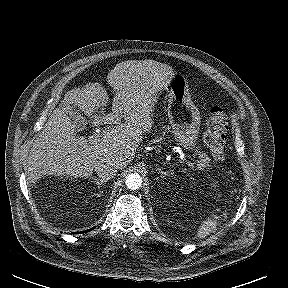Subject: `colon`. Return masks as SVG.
I'll list each match as a JSON object with an SVG mask.
<instances>
[{"label":"colon","mask_w":288,"mask_h":288,"mask_svg":"<svg viewBox=\"0 0 288 288\" xmlns=\"http://www.w3.org/2000/svg\"><path fill=\"white\" fill-rule=\"evenodd\" d=\"M228 128L227 115L221 108H213L206 120L204 143L216 161L226 157L225 133Z\"/></svg>","instance_id":"1"}]
</instances>
